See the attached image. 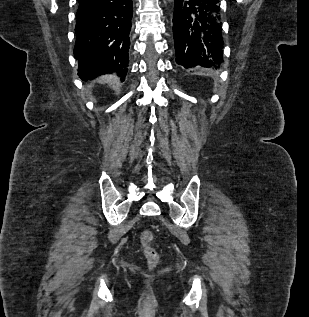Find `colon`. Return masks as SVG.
I'll return each instance as SVG.
<instances>
[{
	"mask_svg": "<svg viewBox=\"0 0 309 317\" xmlns=\"http://www.w3.org/2000/svg\"><path fill=\"white\" fill-rule=\"evenodd\" d=\"M154 236L149 230H144L140 234V242L143 247V253L150 268L155 267L159 262V254L153 247Z\"/></svg>",
	"mask_w": 309,
	"mask_h": 317,
	"instance_id": "1",
	"label": "colon"
}]
</instances>
